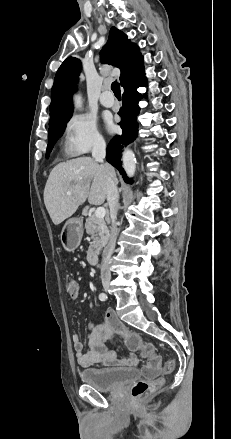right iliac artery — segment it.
<instances>
[{
	"instance_id": "82829eb1",
	"label": "right iliac artery",
	"mask_w": 231,
	"mask_h": 439,
	"mask_svg": "<svg viewBox=\"0 0 231 439\" xmlns=\"http://www.w3.org/2000/svg\"><path fill=\"white\" fill-rule=\"evenodd\" d=\"M99 299H100L101 301H105V300L107 299V295H106L105 293H100V294H99Z\"/></svg>"
}]
</instances>
